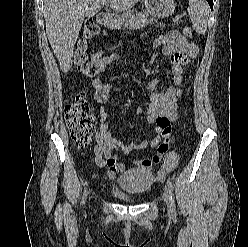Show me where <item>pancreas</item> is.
<instances>
[{
  "mask_svg": "<svg viewBox=\"0 0 248 247\" xmlns=\"http://www.w3.org/2000/svg\"><path fill=\"white\" fill-rule=\"evenodd\" d=\"M122 16L124 18V27L129 29H139L149 23H153V19H147L148 15L144 12L137 13L133 11H128Z\"/></svg>",
  "mask_w": 248,
  "mask_h": 247,
  "instance_id": "pancreas-1",
  "label": "pancreas"
}]
</instances>
